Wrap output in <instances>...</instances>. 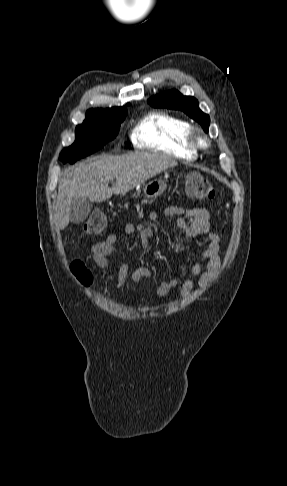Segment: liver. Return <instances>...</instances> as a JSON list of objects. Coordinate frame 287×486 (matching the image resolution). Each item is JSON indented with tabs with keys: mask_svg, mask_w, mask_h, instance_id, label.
Here are the masks:
<instances>
[{
	"mask_svg": "<svg viewBox=\"0 0 287 486\" xmlns=\"http://www.w3.org/2000/svg\"><path fill=\"white\" fill-rule=\"evenodd\" d=\"M177 164L166 155L137 152L122 156L102 155L67 169L61 174L58 186L56 218L60 229L69 224L70 205L74 198L85 197L92 202H102L113 194H126ZM113 179L116 182L110 188L108 184Z\"/></svg>",
	"mask_w": 287,
	"mask_h": 486,
	"instance_id": "obj_1",
	"label": "liver"
}]
</instances>
